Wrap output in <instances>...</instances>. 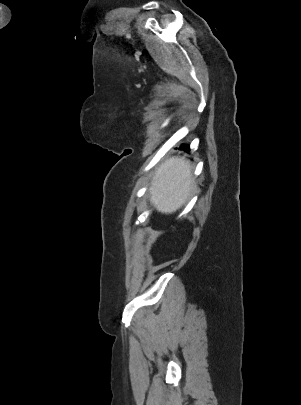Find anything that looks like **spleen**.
Segmentation results:
<instances>
[{
	"label": "spleen",
	"mask_w": 301,
	"mask_h": 405,
	"mask_svg": "<svg viewBox=\"0 0 301 405\" xmlns=\"http://www.w3.org/2000/svg\"><path fill=\"white\" fill-rule=\"evenodd\" d=\"M193 187L189 161L172 157L157 168L150 188L151 201L158 211L172 213L186 202Z\"/></svg>",
	"instance_id": "spleen-1"
}]
</instances>
